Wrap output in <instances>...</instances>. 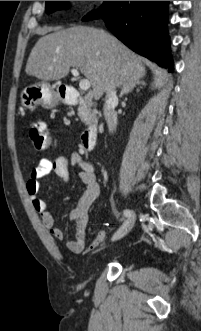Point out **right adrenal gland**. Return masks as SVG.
<instances>
[{"label":"right adrenal gland","instance_id":"1","mask_svg":"<svg viewBox=\"0 0 201 331\" xmlns=\"http://www.w3.org/2000/svg\"><path fill=\"white\" fill-rule=\"evenodd\" d=\"M136 85L138 86H144L145 82L142 80H136L134 82H127L122 86L121 92L119 97H123L124 95H127L129 93L132 92V90L136 87Z\"/></svg>","mask_w":201,"mask_h":331}]
</instances>
